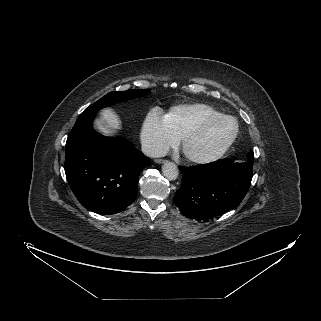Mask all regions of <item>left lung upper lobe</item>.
<instances>
[{
  "label": "left lung upper lobe",
  "mask_w": 321,
  "mask_h": 321,
  "mask_svg": "<svg viewBox=\"0 0 321 321\" xmlns=\"http://www.w3.org/2000/svg\"><path fill=\"white\" fill-rule=\"evenodd\" d=\"M248 156H254L253 151H250V152L248 153L247 157H248Z\"/></svg>",
  "instance_id": "obj_1"
}]
</instances>
